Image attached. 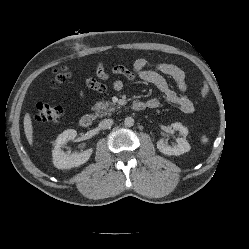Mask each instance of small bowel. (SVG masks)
<instances>
[{
  "instance_id": "obj_1",
  "label": "small bowel",
  "mask_w": 249,
  "mask_h": 249,
  "mask_svg": "<svg viewBox=\"0 0 249 249\" xmlns=\"http://www.w3.org/2000/svg\"><path fill=\"white\" fill-rule=\"evenodd\" d=\"M149 66L150 62L145 58L136 59L130 69L123 65H115L110 70H106L103 64L98 63L95 65L97 78L86 77L84 80L89 88L103 93L107 91V86L103 81H107L114 76H124L128 80L139 78L156 86L164 94L166 100L177 105L182 113H192L194 111V105L187 93L188 87L183 70L169 63H157L154 65L153 70L148 69ZM165 75L175 81L180 93L175 92L169 87L164 77ZM112 86L117 91L122 90L124 81L122 79H115ZM76 93L79 100L84 101L85 94L83 90L76 88ZM145 104L150 109H156L160 107L161 102L157 98H150Z\"/></svg>"
}]
</instances>
